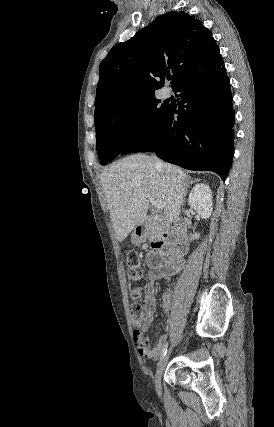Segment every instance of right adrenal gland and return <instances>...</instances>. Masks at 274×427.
I'll return each instance as SVG.
<instances>
[{
    "mask_svg": "<svg viewBox=\"0 0 274 427\" xmlns=\"http://www.w3.org/2000/svg\"><path fill=\"white\" fill-rule=\"evenodd\" d=\"M193 182H195V184H196V182H200V180H190V184H193ZM187 188H188V186H187Z\"/></svg>",
    "mask_w": 274,
    "mask_h": 427,
    "instance_id": "1",
    "label": "right adrenal gland"
}]
</instances>
